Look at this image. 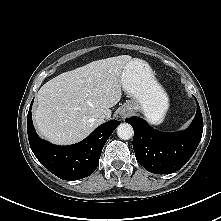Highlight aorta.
Wrapping results in <instances>:
<instances>
[{
  "instance_id": "obj_1",
  "label": "aorta",
  "mask_w": 221,
  "mask_h": 221,
  "mask_svg": "<svg viewBox=\"0 0 221 221\" xmlns=\"http://www.w3.org/2000/svg\"><path fill=\"white\" fill-rule=\"evenodd\" d=\"M134 131L130 124L128 123H121L117 127V135L122 140H129L133 137Z\"/></svg>"
}]
</instances>
